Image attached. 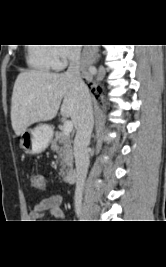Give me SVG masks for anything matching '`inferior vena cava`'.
Listing matches in <instances>:
<instances>
[{"instance_id":"1","label":"inferior vena cava","mask_w":166,"mask_h":267,"mask_svg":"<svg viewBox=\"0 0 166 267\" xmlns=\"http://www.w3.org/2000/svg\"><path fill=\"white\" fill-rule=\"evenodd\" d=\"M69 67L65 75L72 80L83 94L85 101L80 121L74 139V155L76 165L75 208L79 210L82 205V193L89 167L88 145L94 126L93 109L89 91L80 77V48H72L69 55Z\"/></svg>"}]
</instances>
